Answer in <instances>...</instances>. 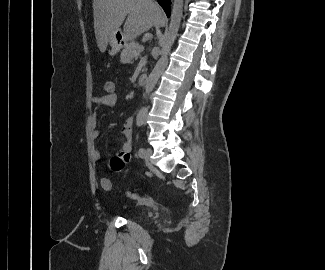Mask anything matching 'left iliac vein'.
<instances>
[{"instance_id": "1", "label": "left iliac vein", "mask_w": 325, "mask_h": 270, "mask_svg": "<svg viewBox=\"0 0 325 270\" xmlns=\"http://www.w3.org/2000/svg\"><path fill=\"white\" fill-rule=\"evenodd\" d=\"M151 154H152V150L150 148H147L142 157L146 162H148L150 160Z\"/></svg>"}]
</instances>
